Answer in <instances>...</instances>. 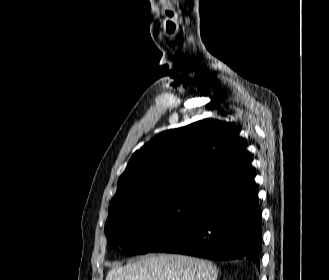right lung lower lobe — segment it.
<instances>
[{
    "label": "right lung lower lobe",
    "instance_id": "1",
    "mask_svg": "<svg viewBox=\"0 0 329 280\" xmlns=\"http://www.w3.org/2000/svg\"><path fill=\"white\" fill-rule=\"evenodd\" d=\"M261 236L254 170L248 162L216 180L183 225L150 252L249 259L259 268Z\"/></svg>",
    "mask_w": 329,
    "mask_h": 280
}]
</instances>
